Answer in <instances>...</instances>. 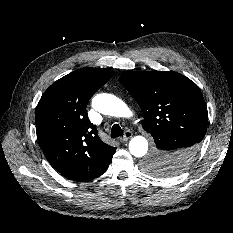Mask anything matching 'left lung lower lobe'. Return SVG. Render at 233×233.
<instances>
[{
    "mask_svg": "<svg viewBox=\"0 0 233 233\" xmlns=\"http://www.w3.org/2000/svg\"><path fill=\"white\" fill-rule=\"evenodd\" d=\"M155 148L171 156L168 158L178 168L185 169L196 156V144L188 136L175 132H160L153 135ZM173 176V175H168Z\"/></svg>",
    "mask_w": 233,
    "mask_h": 233,
    "instance_id": "1",
    "label": "left lung lower lobe"
}]
</instances>
